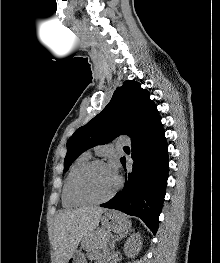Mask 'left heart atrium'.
Listing matches in <instances>:
<instances>
[{"label":"left heart atrium","mask_w":220,"mask_h":263,"mask_svg":"<svg viewBox=\"0 0 220 263\" xmlns=\"http://www.w3.org/2000/svg\"><path fill=\"white\" fill-rule=\"evenodd\" d=\"M108 167L112 170L113 173H115L117 175V171H118V163L116 160H112Z\"/></svg>","instance_id":"obj_1"}]
</instances>
